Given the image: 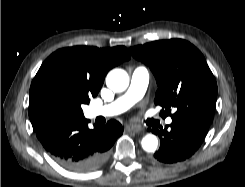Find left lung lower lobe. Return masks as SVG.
<instances>
[{
  "label": "left lung lower lobe",
  "mask_w": 245,
  "mask_h": 187,
  "mask_svg": "<svg viewBox=\"0 0 245 187\" xmlns=\"http://www.w3.org/2000/svg\"><path fill=\"white\" fill-rule=\"evenodd\" d=\"M210 122L203 120L172 121L164 129L152 128L160 138L154 158L163 163H176L189 158L202 144ZM150 130V129H149Z\"/></svg>",
  "instance_id": "obj_1"
}]
</instances>
